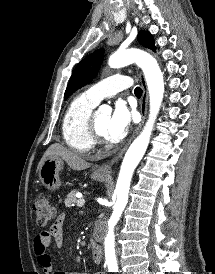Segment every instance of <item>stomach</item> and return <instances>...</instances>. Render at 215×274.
Masks as SVG:
<instances>
[{
    "label": "stomach",
    "mask_w": 215,
    "mask_h": 274,
    "mask_svg": "<svg viewBox=\"0 0 215 274\" xmlns=\"http://www.w3.org/2000/svg\"><path fill=\"white\" fill-rule=\"evenodd\" d=\"M63 167V161L60 157H48L39 170V179L41 183L50 191H55L61 186L59 172ZM91 177L97 181H105L106 176L94 172Z\"/></svg>",
    "instance_id": "0dacf381"
}]
</instances>
